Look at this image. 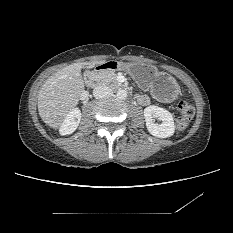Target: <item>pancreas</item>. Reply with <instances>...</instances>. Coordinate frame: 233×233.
<instances>
[{
	"mask_svg": "<svg viewBox=\"0 0 233 233\" xmlns=\"http://www.w3.org/2000/svg\"><path fill=\"white\" fill-rule=\"evenodd\" d=\"M96 80L99 84L105 85H120L117 82V74L111 70H103L96 74Z\"/></svg>",
	"mask_w": 233,
	"mask_h": 233,
	"instance_id": "1",
	"label": "pancreas"
}]
</instances>
